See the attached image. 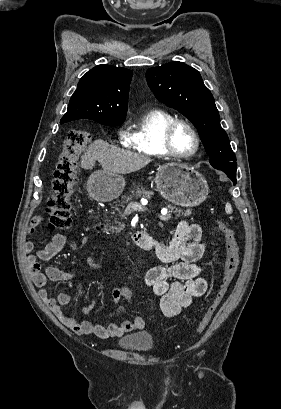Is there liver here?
<instances>
[{
    "instance_id": "liver-1",
    "label": "liver",
    "mask_w": 281,
    "mask_h": 409,
    "mask_svg": "<svg viewBox=\"0 0 281 409\" xmlns=\"http://www.w3.org/2000/svg\"><path fill=\"white\" fill-rule=\"evenodd\" d=\"M96 160L102 164L104 172L127 174V172L140 170V168L149 164L153 158H150L149 154H140V152L125 150V148H117V146H112L105 140H94L81 156V166L82 168H93Z\"/></svg>"
}]
</instances>
